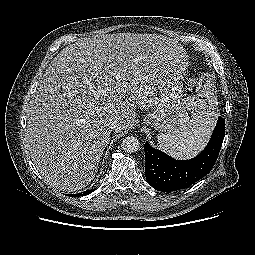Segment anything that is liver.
Masks as SVG:
<instances>
[{"instance_id": "1", "label": "liver", "mask_w": 255, "mask_h": 255, "mask_svg": "<svg viewBox=\"0 0 255 255\" xmlns=\"http://www.w3.org/2000/svg\"><path fill=\"white\" fill-rule=\"evenodd\" d=\"M187 67L185 48L163 35L106 34L66 46L27 114V149L46 183L68 192L89 185L110 142L109 121L123 132Z\"/></svg>"}]
</instances>
